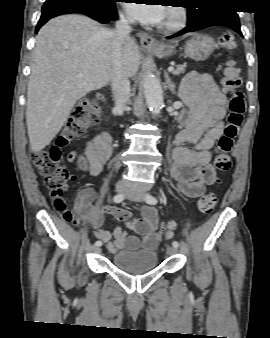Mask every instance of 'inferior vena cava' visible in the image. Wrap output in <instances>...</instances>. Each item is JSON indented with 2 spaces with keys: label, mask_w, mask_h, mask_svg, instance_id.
Masks as SVG:
<instances>
[{
  "label": "inferior vena cava",
  "mask_w": 270,
  "mask_h": 338,
  "mask_svg": "<svg viewBox=\"0 0 270 338\" xmlns=\"http://www.w3.org/2000/svg\"><path fill=\"white\" fill-rule=\"evenodd\" d=\"M132 22L133 21L131 19H127L124 15H120V19L116 23L115 30L111 32L114 53L111 87L115 106L121 110L130 99V82L122 70L120 57L123 44L131 39L129 34L132 31Z\"/></svg>",
  "instance_id": "inferior-vena-cava-1"
}]
</instances>
